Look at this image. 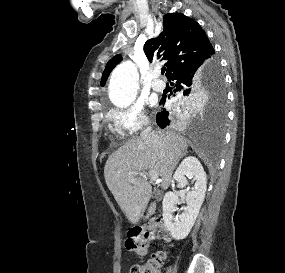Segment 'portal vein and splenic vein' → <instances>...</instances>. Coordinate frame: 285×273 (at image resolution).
I'll return each mask as SVG.
<instances>
[{
  "instance_id": "18ae733b",
  "label": "portal vein and splenic vein",
  "mask_w": 285,
  "mask_h": 273,
  "mask_svg": "<svg viewBox=\"0 0 285 273\" xmlns=\"http://www.w3.org/2000/svg\"><path fill=\"white\" fill-rule=\"evenodd\" d=\"M135 175H139L142 177L148 176L151 181H157L158 180V174L155 171H149L148 173L145 171H135V172H132L131 175L129 176V178H128L129 182L134 181Z\"/></svg>"
}]
</instances>
